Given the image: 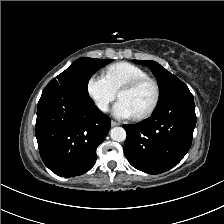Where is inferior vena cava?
<instances>
[{"label": "inferior vena cava", "mask_w": 224, "mask_h": 224, "mask_svg": "<svg viewBox=\"0 0 224 224\" xmlns=\"http://www.w3.org/2000/svg\"><path fill=\"white\" fill-rule=\"evenodd\" d=\"M99 109L101 110V111H104V112H107L108 111V103H100L99 104Z\"/></svg>", "instance_id": "602c4592"}]
</instances>
